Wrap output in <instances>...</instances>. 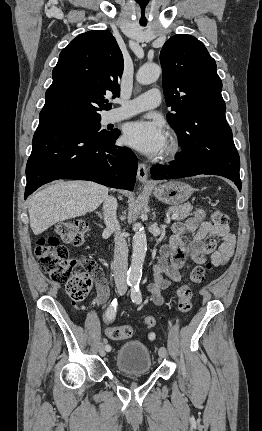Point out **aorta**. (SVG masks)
Returning <instances> with one entry per match:
<instances>
[{
    "mask_svg": "<svg viewBox=\"0 0 262 431\" xmlns=\"http://www.w3.org/2000/svg\"><path fill=\"white\" fill-rule=\"evenodd\" d=\"M161 73V68L156 64H145L137 72L136 79L142 85L155 82ZM135 234L133 236V252L131 265L128 270V281L132 285L139 284L142 277V268L147 251V238L144 227L141 223L135 224Z\"/></svg>",
    "mask_w": 262,
    "mask_h": 431,
    "instance_id": "1",
    "label": "aorta"
}]
</instances>
